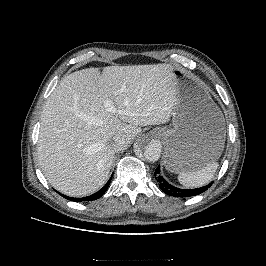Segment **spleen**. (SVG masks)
Returning <instances> with one entry per match:
<instances>
[{
	"mask_svg": "<svg viewBox=\"0 0 266 266\" xmlns=\"http://www.w3.org/2000/svg\"><path fill=\"white\" fill-rule=\"evenodd\" d=\"M217 168L218 163L212 162L199 170L180 173L178 180L187 188L201 187L213 178Z\"/></svg>",
	"mask_w": 266,
	"mask_h": 266,
	"instance_id": "spleen-1",
	"label": "spleen"
}]
</instances>
